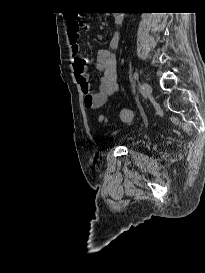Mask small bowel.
<instances>
[{"instance_id":"obj_1","label":"small bowel","mask_w":205,"mask_h":273,"mask_svg":"<svg viewBox=\"0 0 205 273\" xmlns=\"http://www.w3.org/2000/svg\"><path fill=\"white\" fill-rule=\"evenodd\" d=\"M78 22H80V20L70 19L67 23L69 42L75 58L73 63L74 75L83 92L85 107L88 109H99L119 90L117 82V60L112 49L119 45L120 38L118 35L113 36L108 47L97 50V69L101 72V77L98 90L92 92L85 70V56L79 44V34L81 30H87L89 26L83 23L81 28H76L75 24H78Z\"/></svg>"}]
</instances>
